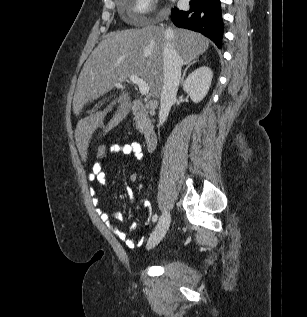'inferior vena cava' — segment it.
Segmentation results:
<instances>
[{"label":"inferior vena cava","instance_id":"1","mask_svg":"<svg viewBox=\"0 0 307 317\" xmlns=\"http://www.w3.org/2000/svg\"><path fill=\"white\" fill-rule=\"evenodd\" d=\"M166 42L163 47V86L160 94L159 125L166 121L172 105L175 102L181 79L183 61L174 48L171 29L165 31Z\"/></svg>","mask_w":307,"mask_h":317}]
</instances>
